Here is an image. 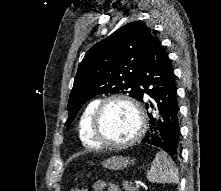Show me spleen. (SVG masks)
Here are the masks:
<instances>
[{"label":"spleen","mask_w":221,"mask_h":191,"mask_svg":"<svg viewBox=\"0 0 221 191\" xmlns=\"http://www.w3.org/2000/svg\"><path fill=\"white\" fill-rule=\"evenodd\" d=\"M147 179L152 183L177 184L179 182L178 170L167 158L165 152L156 154L151 169L147 171Z\"/></svg>","instance_id":"spleen-1"}]
</instances>
